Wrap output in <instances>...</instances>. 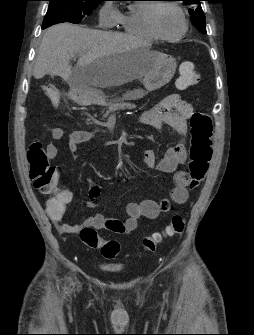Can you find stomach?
Segmentation results:
<instances>
[{
    "label": "stomach",
    "mask_w": 254,
    "mask_h": 335,
    "mask_svg": "<svg viewBox=\"0 0 254 335\" xmlns=\"http://www.w3.org/2000/svg\"><path fill=\"white\" fill-rule=\"evenodd\" d=\"M146 48H140L137 52L145 51ZM154 57V63L151 69L143 78V89H135L129 91L124 95L127 100H136L142 98L146 93L159 89L170 82L176 71V60L164 53L150 51ZM132 53L129 52V54ZM97 62L92 63L90 67L96 65ZM71 97L74 101L82 105L98 104L109 105L107 98L93 89L76 88L71 92Z\"/></svg>",
    "instance_id": "1"
}]
</instances>
